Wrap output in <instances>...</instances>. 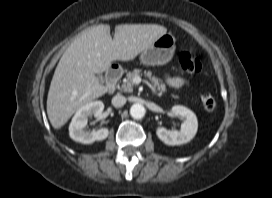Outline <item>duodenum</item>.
<instances>
[{
    "label": "duodenum",
    "mask_w": 272,
    "mask_h": 198,
    "mask_svg": "<svg viewBox=\"0 0 272 198\" xmlns=\"http://www.w3.org/2000/svg\"><path fill=\"white\" fill-rule=\"evenodd\" d=\"M122 69L121 68H112L109 69L106 76V85L109 92H113L116 88L117 82L121 78Z\"/></svg>",
    "instance_id": "duodenum-1"
}]
</instances>
